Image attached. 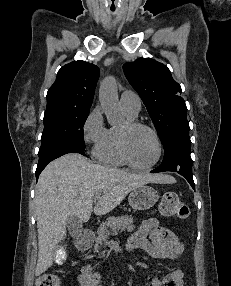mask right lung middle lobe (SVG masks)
I'll return each instance as SVG.
<instances>
[{"instance_id":"obj_1","label":"right lung middle lobe","mask_w":231,"mask_h":286,"mask_svg":"<svg viewBox=\"0 0 231 286\" xmlns=\"http://www.w3.org/2000/svg\"><path fill=\"white\" fill-rule=\"evenodd\" d=\"M89 112V108H46L39 155L61 145H75L84 149L83 126Z\"/></svg>"}]
</instances>
